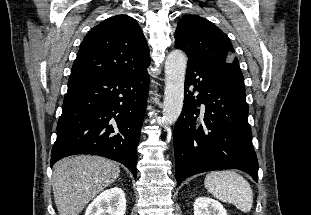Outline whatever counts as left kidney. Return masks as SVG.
<instances>
[{
  "instance_id": "left-kidney-1",
  "label": "left kidney",
  "mask_w": 311,
  "mask_h": 215,
  "mask_svg": "<svg viewBox=\"0 0 311 215\" xmlns=\"http://www.w3.org/2000/svg\"><path fill=\"white\" fill-rule=\"evenodd\" d=\"M194 215H227V212L217 200L199 197L194 202Z\"/></svg>"
}]
</instances>
